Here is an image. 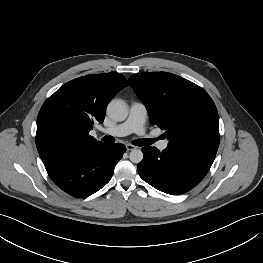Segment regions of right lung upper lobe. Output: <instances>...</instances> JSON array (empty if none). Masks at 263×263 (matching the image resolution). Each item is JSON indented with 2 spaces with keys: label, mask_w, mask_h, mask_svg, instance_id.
Listing matches in <instances>:
<instances>
[{
  "label": "right lung upper lobe",
  "mask_w": 263,
  "mask_h": 263,
  "mask_svg": "<svg viewBox=\"0 0 263 263\" xmlns=\"http://www.w3.org/2000/svg\"><path fill=\"white\" fill-rule=\"evenodd\" d=\"M128 85L121 74H90L66 83L44 102L36 146L47 172L77 151L102 143L89 131L95 121L103 122L108 102Z\"/></svg>",
  "instance_id": "obj_1"
}]
</instances>
